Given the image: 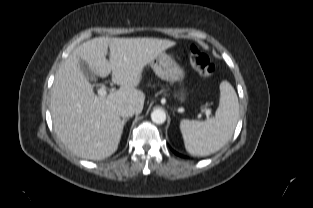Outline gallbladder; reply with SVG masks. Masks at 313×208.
<instances>
[{"label":"gallbladder","instance_id":"1","mask_svg":"<svg viewBox=\"0 0 313 208\" xmlns=\"http://www.w3.org/2000/svg\"><path fill=\"white\" fill-rule=\"evenodd\" d=\"M80 67H81V70L83 71L84 75L88 79H95L92 71L90 70V68H89V66L87 65L86 62H84L83 60H80Z\"/></svg>","mask_w":313,"mask_h":208}]
</instances>
